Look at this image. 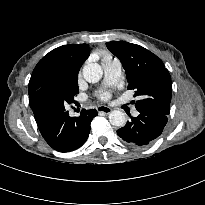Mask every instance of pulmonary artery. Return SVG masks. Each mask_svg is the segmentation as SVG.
Here are the masks:
<instances>
[{"mask_svg": "<svg viewBox=\"0 0 205 205\" xmlns=\"http://www.w3.org/2000/svg\"><path fill=\"white\" fill-rule=\"evenodd\" d=\"M103 69L105 74V81L107 83L115 82L119 76L121 71V64L117 59H111L103 63ZM138 112L136 110L133 111V116H137Z\"/></svg>", "mask_w": 205, "mask_h": 205, "instance_id": "pulmonary-artery-1", "label": "pulmonary artery"}]
</instances>
